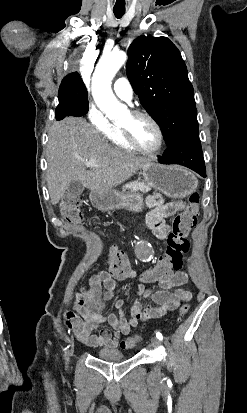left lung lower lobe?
Instances as JSON below:
<instances>
[{
  "mask_svg": "<svg viewBox=\"0 0 247 413\" xmlns=\"http://www.w3.org/2000/svg\"><path fill=\"white\" fill-rule=\"evenodd\" d=\"M162 164H179L188 167L202 177H206L205 163L199 138H186L168 145L163 156L158 157Z\"/></svg>",
  "mask_w": 247,
  "mask_h": 413,
  "instance_id": "0a47b994",
  "label": "left lung lower lobe"
}]
</instances>
